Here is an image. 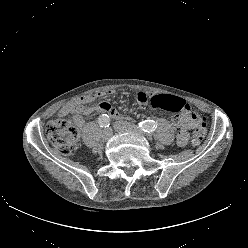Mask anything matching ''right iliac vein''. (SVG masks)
Listing matches in <instances>:
<instances>
[{"label": "right iliac vein", "instance_id": "1", "mask_svg": "<svg viewBox=\"0 0 248 248\" xmlns=\"http://www.w3.org/2000/svg\"><path fill=\"white\" fill-rule=\"evenodd\" d=\"M111 136H112V130L109 128L105 129L102 133V138L105 141L109 140Z\"/></svg>", "mask_w": 248, "mask_h": 248}]
</instances>
